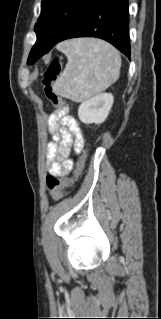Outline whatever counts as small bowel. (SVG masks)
I'll list each match as a JSON object with an SVG mask.
<instances>
[{
    "mask_svg": "<svg viewBox=\"0 0 161 319\" xmlns=\"http://www.w3.org/2000/svg\"><path fill=\"white\" fill-rule=\"evenodd\" d=\"M48 129L53 140L47 146V165L50 175L64 176L73 168L70 146L80 152L84 138L77 120L61 109L54 110L48 120Z\"/></svg>",
    "mask_w": 161,
    "mask_h": 319,
    "instance_id": "obj_1",
    "label": "small bowel"
}]
</instances>
